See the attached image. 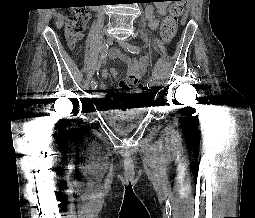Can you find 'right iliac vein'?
I'll use <instances>...</instances> for the list:
<instances>
[{
  "label": "right iliac vein",
  "mask_w": 255,
  "mask_h": 218,
  "mask_svg": "<svg viewBox=\"0 0 255 218\" xmlns=\"http://www.w3.org/2000/svg\"><path fill=\"white\" fill-rule=\"evenodd\" d=\"M112 43H113V39H112L111 37L107 38L106 44H107V45H111ZM91 89H92V90H96V89H97V84H96V85H92V84H91Z\"/></svg>",
  "instance_id": "obj_1"
}]
</instances>
